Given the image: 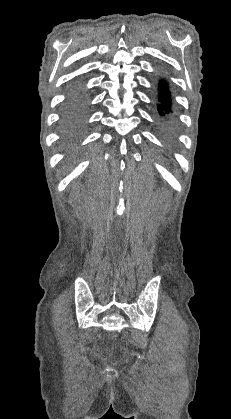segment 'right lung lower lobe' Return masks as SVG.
Returning a JSON list of instances; mask_svg holds the SVG:
<instances>
[{"label":"right lung lower lobe","mask_w":231,"mask_h":419,"mask_svg":"<svg viewBox=\"0 0 231 419\" xmlns=\"http://www.w3.org/2000/svg\"><path fill=\"white\" fill-rule=\"evenodd\" d=\"M88 109V98L80 87H73L66 98L62 119L65 135L70 140L77 139L84 130Z\"/></svg>","instance_id":"right-lung-lower-lobe-1"}]
</instances>
